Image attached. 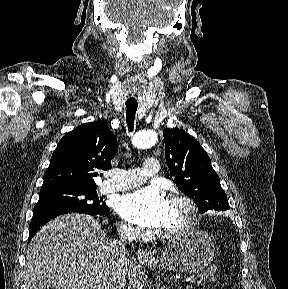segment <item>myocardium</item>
<instances>
[{
  "label": "myocardium",
  "instance_id": "myocardium-1",
  "mask_svg": "<svg viewBox=\"0 0 288 289\" xmlns=\"http://www.w3.org/2000/svg\"><path fill=\"white\" fill-rule=\"evenodd\" d=\"M169 201L179 202L185 208L184 223L173 229H165L164 233L169 237H182L193 231L197 224V205L195 201L188 195L181 192H174L169 195Z\"/></svg>",
  "mask_w": 288,
  "mask_h": 289
}]
</instances>
